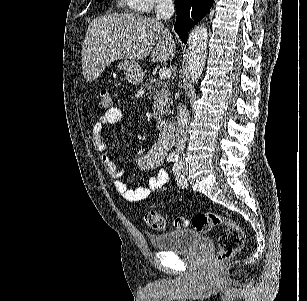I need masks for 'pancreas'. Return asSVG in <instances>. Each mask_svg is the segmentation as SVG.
I'll return each instance as SVG.
<instances>
[{
	"mask_svg": "<svg viewBox=\"0 0 307 301\" xmlns=\"http://www.w3.org/2000/svg\"><path fill=\"white\" fill-rule=\"evenodd\" d=\"M147 88L149 94H152L153 102V116H164L170 114V106L172 98H170V90L167 82L158 80V78H147V82L143 84V88Z\"/></svg>",
	"mask_w": 307,
	"mask_h": 301,
	"instance_id": "obj_1",
	"label": "pancreas"
}]
</instances>
